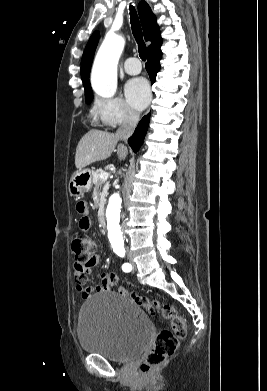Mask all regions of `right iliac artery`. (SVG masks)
I'll return each mask as SVG.
<instances>
[{
    "instance_id": "right-iliac-artery-1",
    "label": "right iliac artery",
    "mask_w": 267,
    "mask_h": 391,
    "mask_svg": "<svg viewBox=\"0 0 267 391\" xmlns=\"http://www.w3.org/2000/svg\"><path fill=\"white\" fill-rule=\"evenodd\" d=\"M122 269L124 272H130L132 267L129 263H125V264H123Z\"/></svg>"
}]
</instances>
